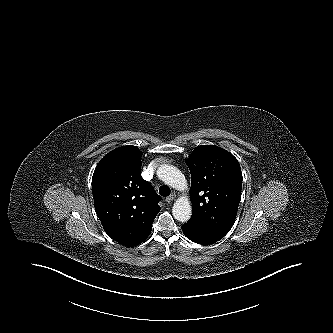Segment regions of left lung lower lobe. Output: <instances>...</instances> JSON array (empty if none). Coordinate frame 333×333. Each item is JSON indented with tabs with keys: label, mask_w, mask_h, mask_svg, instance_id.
<instances>
[{
	"label": "left lung lower lobe",
	"mask_w": 333,
	"mask_h": 333,
	"mask_svg": "<svg viewBox=\"0 0 333 333\" xmlns=\"http://www.w3.org/2000/svg\"><path fill=\"white\" fill-rule=\"evenodd\" d=\"M182 230L188 239L203 245L215 243L224 237L190 222L183 225Z\"/></svg>",
	"instance_id": "1"
}]
</instances>
